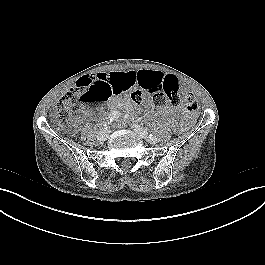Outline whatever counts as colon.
<instances>
[{"instance_id":"colon-1","label":"colon","mask_w":265,"mask_h":265,"mask_svg":"<svg viewBox=\"0 0 265 265\" xmlns=\"http://www.w3.org/2000/svg\"><path fill=\"white\" fill-rule=\"evenodd\" d=\"M104 76H84L80 78L74 88L68 90L54 108V117L60 122H67L71 116L72 108L77 100L84 102L104 101L112 94V89L107 85ZM152 93L151 101L159 108L170 104L178 107L183 101L184 109L193 113L199 109L200 103L196 97L187 96L182 89L179 80L173 75H166L162 84L149 90ZM131 99L135 105L143 101V93L140 90L132 92Z\"/></svg>"}]
</instances>
